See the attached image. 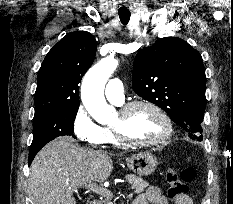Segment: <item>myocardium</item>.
Listing matches in <instances>:
<instances>
[{
  "label": "myocardium",
  "instance_id": "f54148a6",
  "mask_svg": "<svg viewBox=\"0 0 233 204\" xmlns=\"http://www.w3.org/2000/svg\"><path fill=\"white\" fill-rule=\"evenodd\" d=\"M137 107H147L153 110L164 122L165 132L159 138L155 140L135 141V140L128 138L125 135L121 125H112L111 130L114 136L116 137L117 141L124 146L151 147V146L160 145L166 142L167 140H169L173 134L172 120L169 117V115L156 103L149 101V100H144V99L132 100L122 105L118 113L121 116V118L124 119L125 117L129 115V113L132 110H134Z\"/></svg>",
  "mask_w": 233,
  "mask_h": 204
}]
</instances>
